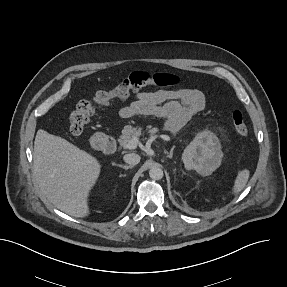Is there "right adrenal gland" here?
<instances>
[{
    "label": "right adrenal gland",
    "mask_w": 287,
    "mask_h": 287,
    "mask_svg": "<svg viewBox=\"0 0 287 287\" xmlns=\"http://www.w3.org/2000/svg\"><path fill=\"white\" fill-rule=\"evenodd\" d=\"M116 166L121 167V168H123L125 170H128V169L133 167V166H127V165H122V164H116Z\"/></svg>",
    "instance_id": "right-adrenal-gland-1"
}]
</instances>
